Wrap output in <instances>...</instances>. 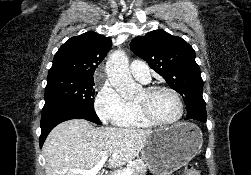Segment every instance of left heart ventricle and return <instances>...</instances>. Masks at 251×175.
I'll list each match as a JSON object with an SVG mask.
<instances>
[{
  "mask_svg": "<svg viewBox=\"0 0 251 175\" xmlns=\"http://www.w3.org/2000/svg\"><path fill=\"white\" fill-rule=\"evenodd\" d=\"M134 103L164 123H173L180 117L179 102L176 96L167 90L152 93L143 90L138 94Z\"/></svg>",
  "mask_w": 251,
  "mask_h": 175,
  "instance_id": "1",
  "label": "left heart ventricle"
}]
</instances>
